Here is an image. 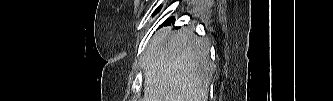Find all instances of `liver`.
I'll return each mask as SVG.
<instances>
[{"label": "liver", "instance_id": "obj_1", "mask_svg": "<svg viewBox=\"0 0 333 101\" xmlns=\"http://www.w3.org/2000/svg\"><path fill=\"white\" fill-rule=\"evenodd\" d=\"M209 49L193 30H159L143 63L142 101H207L214 71Z\"/></svg>", "mask_w": 333, "mask_h": 101}]
</instances>
